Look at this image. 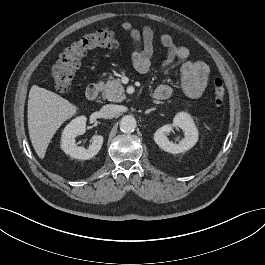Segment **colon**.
I'll return each mask as SVG.
<instances>
[{
  "mask_svg": "<svg viewBox=\"0 0 265 265\" xmlns=\"http://www.w3.org/2000/svg\"><path fill=\"white\" fill-rule=\"evenodd\" d=\"M117 38L114 32L98 30L85 34L68 46L58 57L52 67L51 77L55 88L60 93H67L80 68L82 57L95 48H113L117 46ZM213 100L217 106L225 100V88L221 80H215L212 89Z\"/></svg>",
  "mask_w": 265,
  "mask_h": 265,
  "instance_id": "5ec220e1",
  "label": "colon"
}]
</instances>
